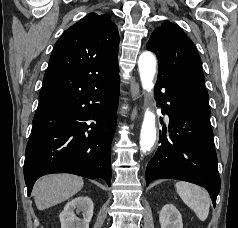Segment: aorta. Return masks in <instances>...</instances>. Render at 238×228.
<instances>
[{"instance_id":"obj_1","label":"aorta","mask_w":238,"mask_h":228,"mask_svg":"<svg viewBox=\"0 0 238 228\" xmlns=\"http://www.w3.org/2000/svg\"><path fill=\"white\" fill-rule=\"evenodd\" d=\"M157 61L153 53L145 51L138 59L140 80L144 91L150 93L154 86ZM155 114L149 108L145 110L140 133V149L143 153L150 151L156 141Z\"/></svg>"}]
</instances>
